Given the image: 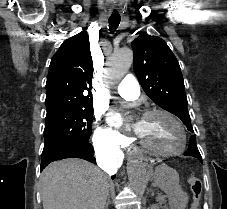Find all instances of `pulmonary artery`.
<instances>
[{"mask_svg":"<svg viewBox=\"0 0 227 209\" xmlns=\"http://www.w3.org/2000/svg\"><path fill=\"white\" fill-rule=\"evenodd\" d=\"M140 91V85L135 76L132 73H127L117 87V93L124 98L134 99L138 96Z\"/></svg>","mask_w":227,"mask_h":209,"instance_id":"1","label":"pulmonary artery"}]
</instances>
